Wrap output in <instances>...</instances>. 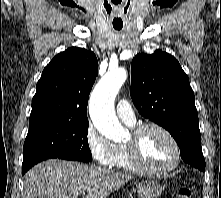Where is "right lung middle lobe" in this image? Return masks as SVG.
<instances>
[{"label":"right lung middle lobe","mask_w":221,"mask_h":198,"mask_svg":"<svg viewBox=\"0 0 221 198\" xmlns=\"http://www.w3.org/2000/svg\"><path fill=\"white\" fill-rule=\"evenodd\" d=\"M88 126V120L43 119L30 122L23 148L22 168L55 156L91 161Z\"/></svg>","instance_id":"right-lung-middle-lobe-1"}]
</instances>
